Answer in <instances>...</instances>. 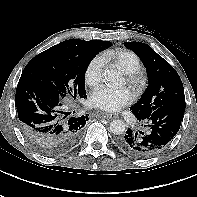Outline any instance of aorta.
<instances>
[{
  "label": "aorta",
  "instance_id": "762f6f07",
  "mask_svg": "<svg viewBox=\"0 0 197 197\" xmlns=\"http://www.w3.org/2000/svg\"><path fill=\"white\" fill-rule=\"evenodd\" d=\"M103 78L106 82L112 83V84H122L123 78L119 71L116 69H106L103 72ZM110 131L115 135H121L125 131V123L120 120L116 119L111 121L110 123Z\"/></svg>",
  "mask_w": 197,
  "mask_h": 197
}]
</instances>
